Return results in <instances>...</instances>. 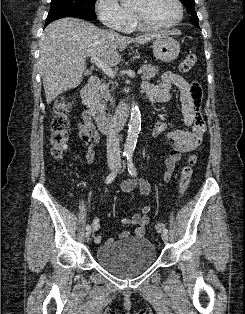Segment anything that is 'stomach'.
Listing matches in <instances>:
<instances>
[{
	"mask_svg": "<svg viewBox=\"0 0 245 314\" xmlns=\"http://www.w3.org/2000/svg\"><path fill=\"white\" fill-rule=\"evenodd\" d=\"M152 48L155 57L163 62H172L180 52V44L169 35L157 37Z\"/></svg>",
	"mask_w": 245,
	"mask_h": 314,
	"instance_id": "0dacf381",
	"label": "stomach"
}]
</instances>
